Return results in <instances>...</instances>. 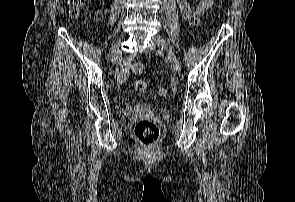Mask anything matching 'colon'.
<instances>
[{"label":"colon","mask_w":295,"mask_h":202,"mask_svg":"<svg viewBox=\"0 0 295 202\" xmlns=\"http://www.w3.org/2000/svg\"><path fill=\"white\" fill-rule=\"evenodd\" d=\"M70 6V14L72 17H77L79 10L84 6L86 0H66ZM130 69L134 74H141L144 70V64L136 61L130 64ZM147 87L146 81L139 80L135 83L136 91H144ZM168 90L164 87L158 89V95L166 97ZM136 138L146 146L153 145L159 138L160 130L156 122L149 119L139 120L134 127Z\"/></svg>","instance_id":"colon-1"}]
</instances>
